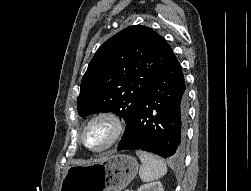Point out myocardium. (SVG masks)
Masks as SVG:
<instances>
[{"mask_svg": "<svg viewBox=\"0 0 251 191\" xmlns=\"http://www.w3.org/2000/svg\"><path fill=\"white\" fill-rule=\"evenodd\" d=\"M97 119H105L111 124L112 137H111V140L108 143V145L103 150L91 151L83 146L82 133L91 122H93ZM124 130H125L124 122L119 117V115L116 114L115 112L110 111V110H101V111L95 112L94 114H92L91 116H89L85 120V122L83 123V125L80 129V132L78 134L79 146L81 149H83L91 154L99 155V156L103 155V154L107 153L110 149H112L120 141V139L122 138V136L124 134Z\"/></svg>", "mask_w": 251, "mask_h": 191, "instance_id": "myocardium-1", "label": "myocardium"}]
</instances>
